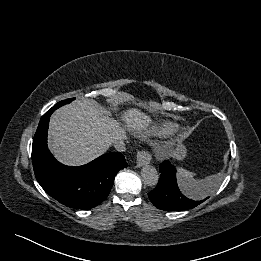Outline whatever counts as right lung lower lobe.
I'll list each match as a JSON object with an SVG mask.
<instances>
[{
    "instance_id": "98d812e1",
    "label": "right lung lower lobe",
    "mask_w": 261,
    "mask_h": 261,
    "mask_svg": "<svg viewBox=\"0 0 261 261\" xmlns=\"http://www.w3.org/2000/svg\"><path fill=\"white\" fill-rule=\"evenodd\" d=\"M54 105L41 118L32 145V162L38 183L51 197L75 209H91L108 196L114 177L127 167L119 152L104 154L78 167L59 163L47 147V130Z\"/></svg>"
}]
</instances>
